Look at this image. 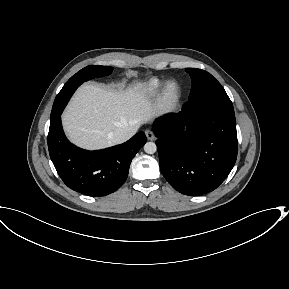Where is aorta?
Segmentation results:
<instances>
[{
  "mask_svg": "<svg viewBox=\"0 0 289 289\" xmlns=\"http://www.w3.org/2000/svg\"><path fill=\"white\" fill-rule=\"evenodd\" d=\"M144 151L148 154H153L157 151V146L154 142H147L144 145Z\"/></svg>",
  "mask_w": 289,
  "mask_h": 289,
  "instance_id": "1",
  "label": "aorta"
}]
</instances>
